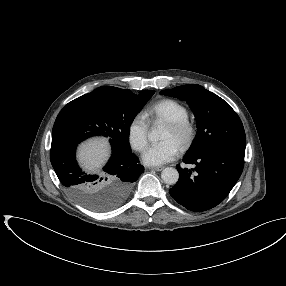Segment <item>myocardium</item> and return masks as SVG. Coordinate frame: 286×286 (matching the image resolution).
I'll return each mask as SVG.
<instances>
[{
    "label": "myocardium",
    "instance_id": "1",
    "mask_svg": "<svg viewBox=\"0 0 286 286\" xmlns=\"http://www.w3.org/2000/svg\"><path fill=\"white\" fill-rule=\"evenodd\" d=\"M166 126L174 130L179 135V146L181 149L189 148L197 136L196 124L188 118L169 121L166 123Z\"/></svg>",
    "mask_w": 286,
    "mask_h": 286
}]
</instances>
